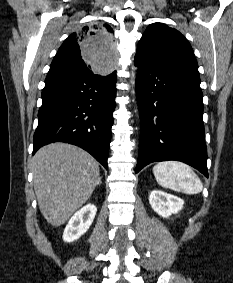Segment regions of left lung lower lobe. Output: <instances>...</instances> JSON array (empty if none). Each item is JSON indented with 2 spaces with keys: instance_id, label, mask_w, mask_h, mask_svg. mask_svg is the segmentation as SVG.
<instances>
[{
  "instance_id": "0a47b994",
  "label": "left lung lower lobe",
  "mask_w": 233,
  "mask_h": 283,
  "mask_svg": "<svg viewBox=\"0 0 233 283\" xmlns=\"http://www.w3.org/2000/svg\"><path fill=\"white\" fill-rule=\"evenodd\" d=\"M135 65L141 121L136 173L152 162L178 160L208 177L198 67L138 56Z\"/></svg>"
}]
</instances>
